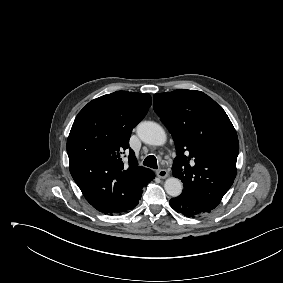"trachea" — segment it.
I'll list each match as a JSON object with an SVG mask.
<instances>
[{
	"label": "trachea",
	"mask_w": 283,
	"mask_h": 283,
	"mask_svg": "<svg viewBox=\"0 0 283 283\" xmlns=\"http://www.w3.org/2000/svg\"><path fill=\"white\" fill-rule=\"evenodd\" d=\"M143 164L147 167L158 169L157 160L154 155L147 156L145 160L143 161Z\"/></svg>",
	"instance_id": "trachea-1"
}]
</instances>
